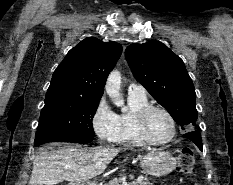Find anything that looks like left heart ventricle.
<instances>
[{"label":"left heart ventricle","instance_id":"b2bd125f","mask_svg":"<svg viewBox=\"0 0 233 185\" xmlns=\"http://www.w3.org/2000/svg\"><path fill=\"white\" fill-rule=\"evenodd\" d=\"M147 130L151 138L163 140L167 138L172 131L169 118L161 111H152L147 118Z\"/></svg>","mask_w":233,"mask_h":185}]
</instances>
